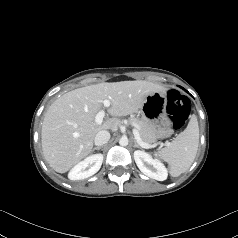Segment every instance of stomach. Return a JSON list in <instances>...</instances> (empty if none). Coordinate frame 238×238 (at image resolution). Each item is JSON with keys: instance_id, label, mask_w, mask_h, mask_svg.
<instances>
[{"instance_id": "0dacf381", "label": "stomach", "mask_w": 238, "mask_h": 238, "mask_svg": "<svg viewBox=\"0 0 238 238\" xmlns=\"http://www.w3.org/2000/svg\"><path fill=\"white\" fill-rule=\"evenodd\" d=\"M167 97L165 93L154 92L149 94L139 110L142 120L157 130L161 135L171 133V123L166 113Z\"/></svg>"}]
</instances>
